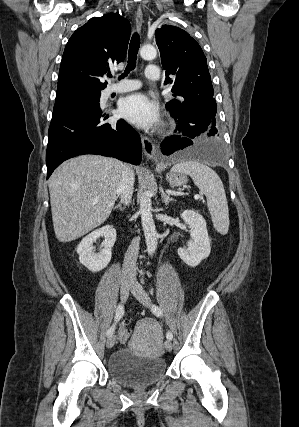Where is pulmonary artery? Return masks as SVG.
Returning <instances> with one entry per match:
<instances>
[{
  "label": "pulmonary artery",
  "mask_w": 299,
  "mask_h": 427,
  "mask_svg": "<svg viewBox=\"0 0 299 427\" xmlns=\"http://www.w3.org/2000/svg\"><path fill=\"white\" fill-rule=\"evenodd\" d=\"M159 69L156 66H148L145 70V78L147 80H158L159 78ZM140 87V82L138 80H127L124 79L121 83L113 85L109 88V93H124L136 90Z\"/></svg>",
  "instance_id": "1"
}]
</instances>
